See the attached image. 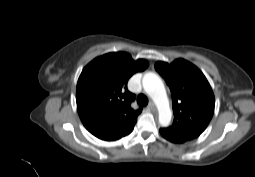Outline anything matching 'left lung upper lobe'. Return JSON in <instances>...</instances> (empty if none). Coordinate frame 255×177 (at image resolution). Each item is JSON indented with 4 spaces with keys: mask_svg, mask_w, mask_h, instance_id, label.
<instances>
[{
    "mask_svg": "<svg viewBox=\"0 0 255 177\" xmlns=\"http://www.w3.org/2000/svg\"><path fill=\"white\" fill-rule=\"evenodd\" d=\"M155 69L172 93L174 121L165 131L183 142L197 138L214 114L215 98L206 77L184 59L158 61Z\"/></svg>",
    "mask_w": 255,
    "mask_h": 177,
    "instance_id": "obj_1",
    "label": "left lung upper lobe"
}]
</instances>
